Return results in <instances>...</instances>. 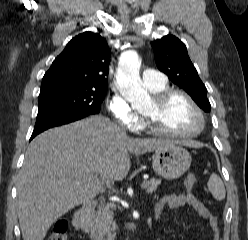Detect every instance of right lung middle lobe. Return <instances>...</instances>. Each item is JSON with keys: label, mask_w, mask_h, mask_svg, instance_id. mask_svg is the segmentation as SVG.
I'll use <instances>...</instances> for the list:
<instances>
[{"label": "right lung middle lobe", "mask_w": 248, "mask_h": 240, "mask_svg": "<svg viewBox=\"0 0 248 240\" xmlns=\"http://www.w3.org/2000/svg\"><path fill=\"white\" fill-rule=\"evenodd\" d=\"M106 89H61L39 95L38 114L92 115L100 112Z\"/></svg>", "instance_id": "obj_1"}]
</instances>
